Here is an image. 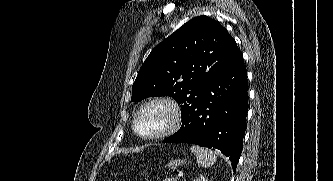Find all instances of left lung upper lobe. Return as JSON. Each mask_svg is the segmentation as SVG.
Instances as JSON below:
<instances>
[{
	"instance_id": "obj_1",
	"label": "left lung upper lobe",
	"mask_w": 333,
	"mask_h": 181,
	"mask_svg": "<svg viewBox=\"0 0 333 181\" xmlns=\"http://www.w3.org/2000/svg\"><path fill=\"white\" fill-rule=\"evenodd\" d=\"M239 51L219 22L197 16L151 51L133 84L131 101L168 95L183 115L199 103L207 84Z\"/></svg>"
}]
</instances>
